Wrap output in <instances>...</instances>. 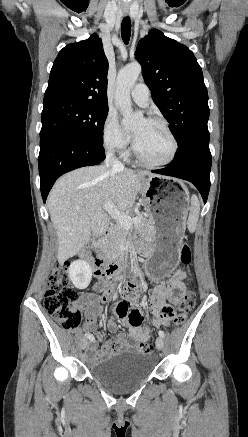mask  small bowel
<instances>
[{
  "label": "small bowel",
  "mask_w": 248,
  "mask_h": 437,
  "mask_svg": "<svg viewBox=\"0 0 248 437\" xmlns=\"http://www.w3.org/2000/svg\"><path fill=\"white\" fill-rule=\"evenodd\" d=\"M186 277L187 273L183 269H179L168 283H161L155 286L150 298L153 315L151 324L153 327L160 328L169 325L174 315L171 305L176 303L184 295L186 291L184 280ZM95 291L101 294V297L92 293L86 295L81 300V303L88 305L93 312L99 308L101 302L110 300L115 291V287L102 280L96 284ZM137 300L136 284L132 283L124 290V299L118 303L115 308L118 317L128 326L129 333L117 332L116 322L110 319L108 321V328L115 336L100 348L94 344L88 347L87 358L91 364H97L107 360L123 350L133 349L135 344L146 342L151 337L149 326L143 324L141 312L138 309L131 308ZM120 310L122 312H120ZM93 326V322L90 321L87 327L91 329ZM103 338L104 335L98 333L96 338L94 337V340L102 341ZM129 338H131L134 343L130 342Z\"/></svg>",
  "instance_id": "1"
}]
</instances>
